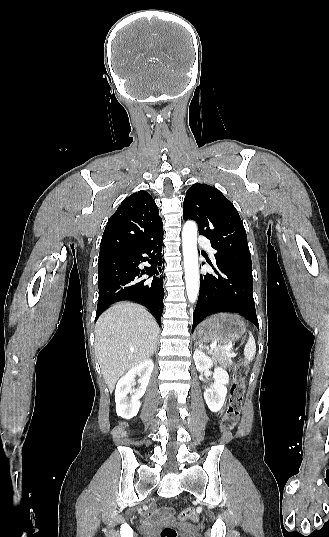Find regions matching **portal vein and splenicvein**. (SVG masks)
I'll list each match as a JSON object with an SVG mask.
<instances>
[{"label":"portal vein and splenic vein","mask_w":329,"mask_h":537,"mask_svg":"<svg viewBox=\"0 0 329 537\" xmlns=\"http://www.w3.org/2000/svg\"><path fill=\"white\" fill-rule=\"evenodd\" d=\"M223 349L226 351H230L232 349V344L230 343L229 345L225 346ZM231 355L233 356L235 354H231Z\"/></svg>","instance_id":"obj_1"}]
</instances>
